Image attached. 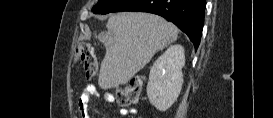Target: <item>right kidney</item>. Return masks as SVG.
I'll return each mask as SVG.
<instances>
[{
    "mask_svg": "<svg viewBox=\"0 0 273 118\" xmlns=\"http://www.w3.org/2000/svg\"><path fill=\"white\" fill-rule=\"evenodd\" d=\"M185 65L184 48L170 46L153 64L147 84V96L158 110L168 109L178 98L182 84V68Z\"/></svg>",
    "mask_w": 273,
    "mask_h": 118,
    "instance_id": "obj_1",
    "label": "right kidney"
}]
</instances>
